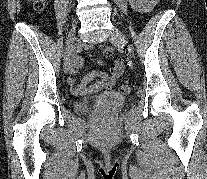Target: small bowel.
<instances>
[{
    "label": "small bowel",
    "instance_id": "1",
    "mask_svg": "<svg viewBox=\"0 0 207 179\" xmlns=\"http://www.w3.org/2000/svg\"><path fill=\"white\" fill-rule=\"evenodd\" d=\"M130 4L139 12L146 13L149 12L158 0H128ZM90 47V46H88ZM100 50L105 56L112 57V65L110 73L92 71L86 74L79 85H75V80L73 75L82 66V58L78 55L73 56L70 59L69 71L71 77L68 79V84L71 86V90L76 95L84 94L88 91H97L101 89L109 90L111 89L120 79L124 64L122 59L118 55H113V49L110 46L100 45ZM100 78V81L90 85V83L96 79Z\"/></svg>",
    "mask_w": 207,
    "mask_h": 179
}]
</instances>
